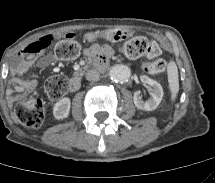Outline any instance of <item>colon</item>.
I'll return each mask as SVG.
<instances>
[{"instance_id": "obj_1", "label": "colon", "mask_w": 215, "mask_h": 183, "mask_svg": "<svg viewBox=\"0 0 215 183\" xmlns=\"http://www.w3.org/2000/svg\"><path fill=\"white\" fill-rule=\"evenodd\" d=\"M51 43L40 41L32 46V52H40L48 49ZM55 54L63 60H73L79 57L81 53L80 44L74 39L72 34L57 43ZM124 55L130 59L141 56L156 58L160 55L161 49L156 41L149 40L145 37H135L126 42L122 47ZM166 61L162 58H156L144 63L143 68L149 74H158L166 69ZM68 89V80L62 75L50 78L46 83V91L50 98H60ZM17 120L25 127L36 129L41 126L45 117V107L42 100L38 98H29L19 101L14 109Z\"/></svg>"}]
</instances>
